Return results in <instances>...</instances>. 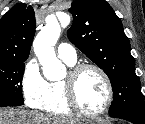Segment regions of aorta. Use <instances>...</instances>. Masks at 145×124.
<instances>
[{
	"instance_id": "1",
	"label": "aorta",
	"mask_w": 145,
	"mask_h": 124,
	"mask_svg": "<svg viewBox=\"0 0 145 124\" xmlns=\"http://www.w3.org/2000/svg\"><path fill=\"white\" fill-rule=\"evenodd\" d=\"M61 33V27L55 16L46 18L45 26L39 31L33 42L34 52L42 66L47 80L56 81L66 75L65 66L57 59L54 46Z\"/></svg>"
}]
</instances>
